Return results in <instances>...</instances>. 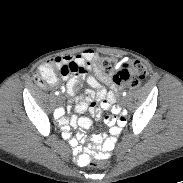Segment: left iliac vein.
<instances>
[{
    "label": "left iliac vein",
    "instance_id": "4c4485c4",
    "mask_svg": "<svg viewBox=\"0 0 183 183\" xmlns=\"http://www.w3.org/2000/svg\"><path fill=\"white\" fill-rule=\"evenodd\" d=\"M122 102L125 103V100L123 99Z\"/></svg>",
    "mask_w": 183,
    "mask_h": 183
}]
</instances>
